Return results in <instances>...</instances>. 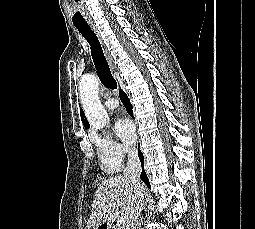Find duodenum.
<instances>
[{
    "mask_svg": "<svg viewBox=\"0 0 255 229\" xmlns=\"http://www.w3.org/2000/svg\"><path fill=\"white\" fill-rule=\"evenodd\" d=\"M98 229H113V227L109 223H102L101 225H99Z\"/></svg>",
    "mask_w": 255,
    "mask_h": 229,
    "instance_id": "1",
    "label": "duodenum"
}]
</instances>
